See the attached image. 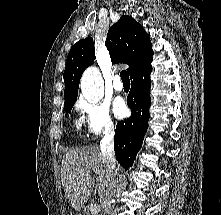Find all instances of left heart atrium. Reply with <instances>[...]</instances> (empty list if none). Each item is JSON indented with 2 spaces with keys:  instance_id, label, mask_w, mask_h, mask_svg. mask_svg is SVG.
<instances>
[{
  "instance_id": "left-heart-atrium-1",
  "label": "left heart atrium",
  "mask_w": 221,
  "mask_h": 215,
  "mask_svg": "<svg viewBox=\"0 0 221 215\" xmlns=\"http://www.w3.org/2000/svg\"><path fill=\"white\" fill-rule=\"evenodd\" d=\"M128 108L125 101L122 98H118L114 103V113L118 118L126 116Z\"/></svg>"
}]
</instances>
